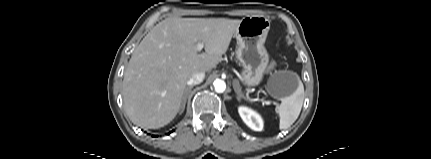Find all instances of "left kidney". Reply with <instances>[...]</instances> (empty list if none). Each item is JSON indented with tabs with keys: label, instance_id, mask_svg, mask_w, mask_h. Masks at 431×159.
Instances as JSON below:
<instances>
[{
	"label": "left kidney",
	"instance_id": "1",
	"mask_svg": "<svg viewBox=\"0 0 431 159\" xmlns=\"http://www.w3.org/2000/svg\"><path fill=\"white\" fill-rule=\"evenodd\" d=\"M238 112L245 124L252 130L261 131L263 129V120L258 113L244 106H240Z\"/></svg>",
	"mask_w": 431,
	"mask_h": 159
}]
</instances>
